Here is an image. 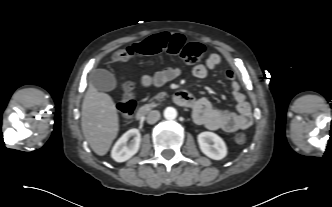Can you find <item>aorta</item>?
I'll return each instance as SVG.
<instances>
[{"instance_id": "762f6f07", "label": "aorta", "mask_w": 332, "mask_h": 207, "mask_svg": "<svg viewBox=\"0 0 332 207\" xmlns=\"http://www.w3.org/2000/svg\"><path fill=\"white\" fill-rule=\"evenodd\" d=\"M164 117L167 119V120H173L177 117V111L175 108L173 107H167L165 110H164Z\"/></svg>"}]
</instances>
